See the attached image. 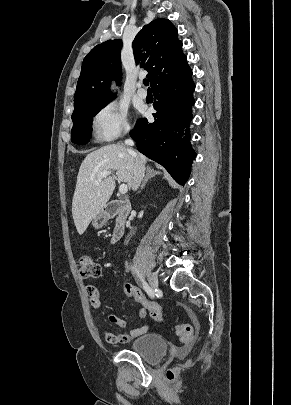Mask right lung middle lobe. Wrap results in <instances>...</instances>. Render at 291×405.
<instances>
[{
    "label": "right lung middle lobe",
    "instance_id": "1",
    "mask_svg": "<svg viewBox=\"0 0 291 405\" xmlns=\"http://www.w3.org/2000/svg\"><path fill=\"white\" fill-rule=\"evenodd\" d=\"M108 103L93 105L72 114L71 140L73 143L84 145L89 142L93 117Z\"/></svg>",
    "mask_w": 291,
    "mask_h": 405
}]
</instances>
